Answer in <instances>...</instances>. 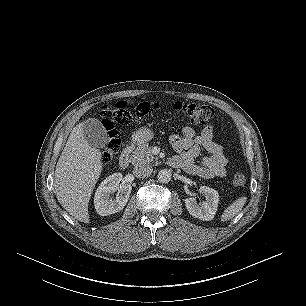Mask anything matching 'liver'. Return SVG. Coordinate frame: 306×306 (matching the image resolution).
<instances>
[{
  "mask_svg": "<svg viewBox=\"0 0 306 306\" xmlns=\"http://www.w3.org/2000/svg\"><path fill=\"white\" fill-rule=\"evenodd\" d=\"M101 171V152L88 144L79 123L57 162L54 188L62 207L81 222L89 223V200Z\"/></svg>",
  "mask_w": 306,
  "mask_h": 306,
  "instance_id": "1",
  "label": "liver"
}]
</instances>
